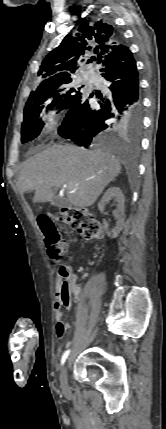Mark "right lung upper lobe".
I'll list each match as a JSON object with an SVG mask.
<instances>
[{"instance_id": "right-lung-upper-lobe-1", "label": "right lung upper lobe", "mask_w": 166, "mask_h": 429, "mask_svg": "<svg viewBox=\"0 0 166 429\" xmlns=\"http://www.w3.org/2000/svg\"><path fill=\"white\" fill-rule=\"evenodd\" d=\"M123 47L112 30L109 32V26L102 23L94 27L81 25L78 33H69L43 60L38 71V76L43 79L39 87L71 78V74L78 69L77 63L89 52H94L99 62L121 51Z\"/></svg>"}]
</instances>
